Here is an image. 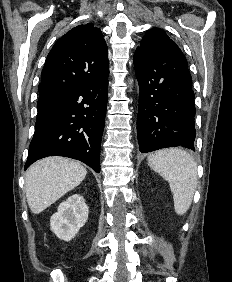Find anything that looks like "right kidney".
I'll return each instance as SVG.
<instances>
[{
	"label": "right kidney",
	"mask_w": 232,
	"mask_h": 282,
	"mask_svg": "<svg viewBox=\"0 0 232 282\" xmlns=\"http://www.w3.org/2000/svg\"><path fill=\"white\" fill-rule=\"evenodd\" d=\"M88 219V206L83 196L74 194L62 202L51 219V230L59 239L70 241Z\"/></svg>",
	"instance_id": "right-kidney-1"
}]
</instances>
